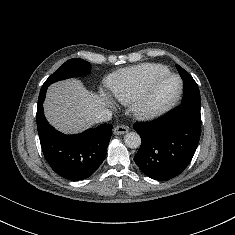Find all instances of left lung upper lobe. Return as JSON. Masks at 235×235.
<instances>
[{
    "label": "left lung upper lobe",
    "instance_id": "obj_1",
    "mask_svg": "<svg viewBox=\"0 0 235 235\" xmlns=\"http://www.w3.org/2000/svg\"><path fill=\"white\" fill-rule=\"evenodd\" d=\"M179 74L181 77H185L189 80H191V83L193 85V91L191 93H185L184 92V96L182 98V101H195V102H201L200 100V92H199V88L197 83L195 82V80L192 78V76L185 71L182 67H180L179 65L176 66ZM181 101V102H182Z\"/></svg>",
    "mask_w": 235,
    "mask_h": 235
}]
</instances>
